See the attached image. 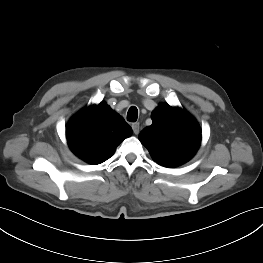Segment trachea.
<instances>
[{
	"label": "trachea",
	"mask_w": 263,
	"mask_h": 263,
	"mask_svg": "<svg viewBox=\"0 0 263 263\" xmlns=\"http://www.w3.org/2000/svg\"><path fill=\"white\" fill-rule=\"evenodd\" d=\"M138 118V110L135 106L129 108L127 113V120L130 122H136Z\"/></svg>",
	"instance_id": "obj_1"
}]
</instances>
